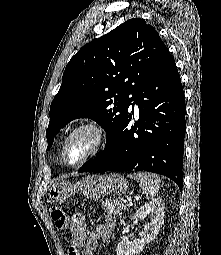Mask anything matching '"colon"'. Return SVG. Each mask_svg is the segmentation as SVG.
<instances>
[{
	"label": "colon",
	"mask_w": 221,
	"mask_h": 255,
	"mask_svg": "<svg viewBox=\"0 0 221 255\" xmlns=\"http://www.w3.org/2000/svg\"><path fill=\"white\" fill-rule=\"evenodd\" d=\"M50 215L55 226L60 230H70L71 232L79 233L84 228V220L81 214H75L69 218L61 208L52 207Z\"/></svg>",
	"instance_id": "1"
}]
</instances>
